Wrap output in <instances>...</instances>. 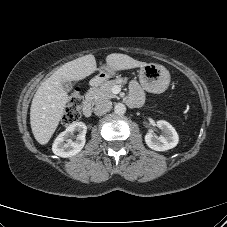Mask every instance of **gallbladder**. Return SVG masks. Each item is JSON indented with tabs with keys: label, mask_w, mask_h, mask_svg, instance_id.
<instances>
[{
	"label": "gallbladder",
	"mask_w": 227,
	"mask_h": 227,
	"mask_svg": "<svg viewBox=\"0 0 227 227\" xmlns=\"http://www.w3.org/2000/svg\"><path fill=\"white\" fill-rule=\"evenodd\" d=\"M62 86H63L65 91H70L73 88V85H72V83L70 81L62 82Z\"/></svg>",
	"instance_id": "bac80fb5"
}]
</instances>
